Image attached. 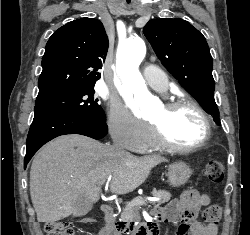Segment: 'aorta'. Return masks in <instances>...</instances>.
Masks as SVG:
<instances>
[{
    "label": "aorta",
    "instance_id": "obj_1",
    "mask_svg": "<svg viewBox=\"0 0 250 235\" xmlns=\"http://www.w3.org/2000/svg\"><path fill=\"white\" fill-rule=\"evenodd\" d=\"M121 60L116 66L115 78L121 83L120 91L129 104L137 102L144 114H149L154 105V98L148 92L145 81L138 70L139 64L146 55L143 40L136 39L126 43L120 50Z\"/></svg>",
    "mask_w": 250,
    "mask_h": 235
}]
</instances>
